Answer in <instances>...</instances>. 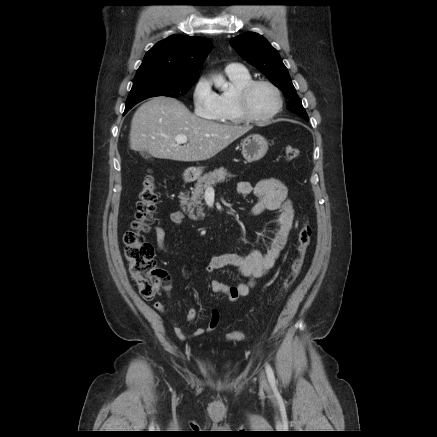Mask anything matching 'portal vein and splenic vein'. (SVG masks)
<instances>
[{"instance_id":"portal-vein-and-splenic-vein-1","label":"portal vein and splenic vein","mask_w":437,"mask_h":437,"mask_svg":"<svg viewBox=\"0 0 437 437\" xmlns=\"http://www.w3.org/2000/svg\"><path fill=\"white\" fill-rule=\"evenodd\" d=\"M178 144H185L188 141V138L185 135H177L174 139ZM207 190H213L211 186L207 188Z\"/></svg>"}]
</instances>
